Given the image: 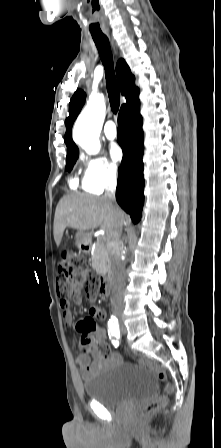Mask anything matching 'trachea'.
I'll list each match as a JSON object with an SVG mask.
<instances>
[{"label":"trachea","instance_id":"1","mask_svg":"<svg viewBox=\"0 0 221 448\" xmlns=\"http://www.w3.org/2000/svg\"><path fill=\"white\" fill-rule=\"evenodd\" d=\"M92 37L97 46L100 58L104 65L106 74V86L111 109L113 113L116 114L120 105V91L114 72L113 57L110 48V43L108 38L104 35H93Z\"/></svg>","mask_w":221,"mask_h":448}]
</instances>
